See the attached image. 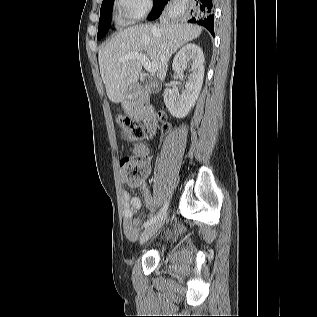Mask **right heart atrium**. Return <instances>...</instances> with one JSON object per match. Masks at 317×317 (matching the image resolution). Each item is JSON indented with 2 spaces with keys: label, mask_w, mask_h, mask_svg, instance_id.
Listing matches in <instances>:
<instances>
[{
  "label": "right heart atrium",
  "mask_w": 317,
  "mask_h": 317,
  "mask_svg": "<svg viewBox=\"0 0 317 317\" xmlns=\"http://www.w3.org/2000/svg\"><path fill=\"white\" fill-rule=\"evenodd\" d=\"M123 25L140 21L151 9V0H116Z\"/></svg>",
  "instance_id": "right-heart-atrium-1"
}]
</instances>
